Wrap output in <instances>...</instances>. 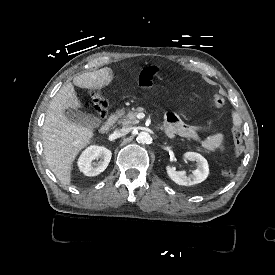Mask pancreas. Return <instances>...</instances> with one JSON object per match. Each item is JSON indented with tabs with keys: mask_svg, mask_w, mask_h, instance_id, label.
Here are the masks:
<instances>
[{
	"mask_svg": "<svg viewBox=\"0 0 275 275\" xmlns=\"http://www.w3.org/2000/svg\"><path fill=\"white\" fill-rule=\"evenodd\" d=\"M144 108L137 107L134 110L129 111L128 113L125 112L124 109L116 110L115 115L118 118V123L122 124L123 126H131L139 123L137 119V114L139 112H143Z\"/></svg>",
	"mask_w": 275,
	"mask_h": 275,
	"instance_id": "cf45deb5",
	"label": "pancreas"
}]
</instances>
